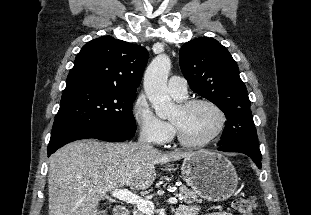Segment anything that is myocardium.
<instances>
[{"label": "myocardium", "instance_id": "f54148a6", "mask_svg": "<svg viewBox=\"0 0 311 215\" xmlns=\"http://www.w3.org/2000/svg\"><path fill=\"white\" fill-rule=\"evenodd\" d=\"M199 104H204V105H208L211 108H213L218 116H219V123L218 126L216 128V130L205 140L203 141H199V142H192L187 140L182 132L180 131L179 127L173 122L171 121L175 134H176V138L178 140V142L187 148H192V149H197V148H203L209 144H211L217 137L220 136V134L223 132L225 126H226V122H227V118H226V114L223 111V109L214 101L207 99V98H191V99H186L181 101L178 104V107L183 110L186 111L188 109H190L191 107L195 106V105H199Z\"/></svg>", "mask_w": 311, "mask_h": 215}]
</instances>
